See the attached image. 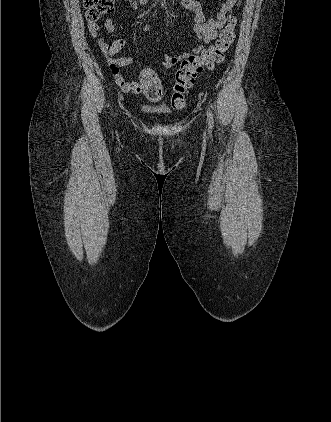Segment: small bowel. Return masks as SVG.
Here are the masks:
<instances>
[{
	"label": "small bowel",
	"instance_id": "small-bowel-1",
	"mask_svg": "<svg viewBox=\"0 0 331 422\" xmlns=\"http://www.w3.org/2000/svg\"><path fill=\"white\" fill-rule=\"evenodd\" d=\"M130 6L137 10L140 6L147 5L150 0H127ZM240 0H226L225 2L218 5V11L215 18H211L208 21L205 20L202 6L197 0H180V4L186 10L194 14V32L197 36L198 44L191 52L181 53L179 55H163V66L166 69H170L177 64H180L184 59L189 57H197L199 54H203L205 51L203 44H208L217 37L218 30L221 29L228 16L233 10L239 6ZM104 29L112 33L115 30V24L112 19H106L104 22ZM90 34L93 38H96L97 46L105 57V60L109 66V69L114 77L115 82L120 89L125 93L139 94L142 93L143 88L141 83L138 81H128L120 73V68L123 66L133 65V60L130 57H115L125 45L123 38L114 40L111 44H108L101 36V27L97 23H89ZM144 32L151 30L149 25L142 27Z\"/></svg>",
	"mask_w": 331,
	"mask_h": 422
}]
</instances>
